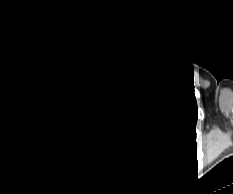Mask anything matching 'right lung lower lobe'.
<instances>
[{"label":"right lung lower lobe","instance_id":"1","mask_svg":"<svg viewBox=\"0 0 233 194\" xmlns=\"http://www.w3.org/2000/svg\"><path fill=\"white\" fill-rule=\"evenodd\" d=\"M94 157H95V153L89 154L84 158V161L91 162L94 159Z\"/></svg>","mask_w":233,"mask_h":194}]
</instances>
